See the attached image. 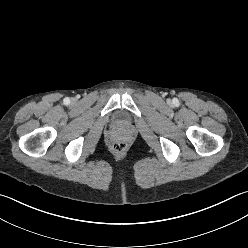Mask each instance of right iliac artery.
I'll return each mask as SVG.
<instances>
[{
    "mask_svg": "<svg viewBox=\"0 0 248 248\" xmlns=\"http://www.w3.org/2000/svg\"><path fill=\"white\" fill-rule=\"evenodd\" d=\"M70 103V99L67 97L64 99V104H69Z\"/></svg>",
    "mask_w": 248,
    "mask_h": 248,
    "instance_id": "right-iliac-artery-1",
    "label": "right iliac artery"
}]
</instances>
